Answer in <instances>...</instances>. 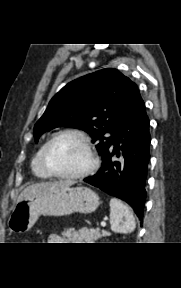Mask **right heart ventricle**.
Instances as JSON below:
<instances>
[{
    "label": "right heart ventricle",
    "instance_id": "1",
    "mask_svg": "<svg viewBox=\"0 0 181 288\" xmlns=\"http://www.w3.org/2000/svg\"><path fill=\"white\" fill-rule=\"evenodd\" d=\"M45 144L41 145L40 148L35 153L32 162L31 169L33 174L39 179H51L53 176L45 169L42 164V150Z\"/></svg>",
    "mask_w": 181,
    "mask_h": 288
}]
</instances>
